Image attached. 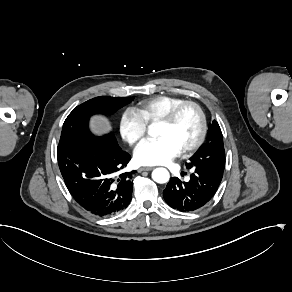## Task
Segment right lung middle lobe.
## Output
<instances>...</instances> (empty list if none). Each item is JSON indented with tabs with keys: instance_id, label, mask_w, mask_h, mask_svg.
<instances>
[{
	"instance_id": "obj_1",
	"label": "right lung middle lobe",
	"mask_w": 292,
	"mask_h": 292,
	"mask_svg": "<svg viewBox=\"0 0 292 292\" xmlns=\"http://www.w3.org/2000/svg\"><path fill=\"white\" fill-rule=\"evenodd\" d=\"M133 97H97L77 106L66 118L58 147L65 145L88 144L117 147V140L112 132L101 137L94 136L88 127L89 118L94 114L111 115L132 102Z\"/></svg>"
}]
</instances>
